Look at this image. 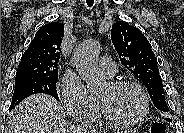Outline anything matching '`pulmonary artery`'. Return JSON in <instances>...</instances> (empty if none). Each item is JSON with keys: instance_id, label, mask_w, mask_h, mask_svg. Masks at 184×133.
Here are the masks:
<instances>
[{"instance_id": "e3ab8cb5", "label": "pulmonary artery", "mask_w": 184, "mask_h": 133, "mask_svg": "<svg viewBox=\"0 0 184 133\" xmlns=\"http://www.w3.org/2000/svg\"><path fill=\"white\" fill-rule=\"evenodd\" d=\"M98 67L105 75L109 77H112L116 74L115 62L110 57L107 56L101 57Z\"/></svg>"}]
</instances>
